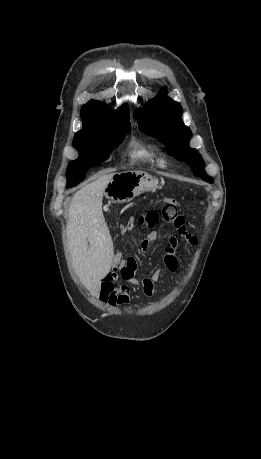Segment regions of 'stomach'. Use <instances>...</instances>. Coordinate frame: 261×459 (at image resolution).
<instances>
[{"instance_id": "0dacf381", "label": "stomach", "mask_w": 261, "mask_h": 459, "mask_svg": "<svg viewBox=\"0 0 261 459\" xmlns=\"http://www.w3.org/2000/svg\"><path fill=\"white\" fill-rule=\"evenodd\" d=\"M158 187V181L150 174L129 170L115 173L107 184L104 194L116 203H128L136 196L154 191Z\"/></svg>"}]
</instances>
